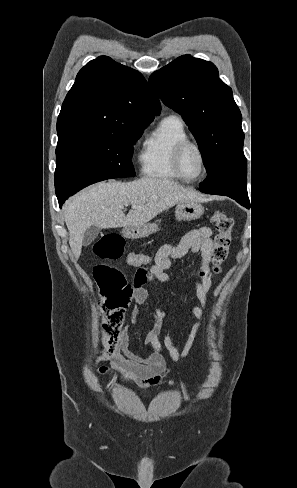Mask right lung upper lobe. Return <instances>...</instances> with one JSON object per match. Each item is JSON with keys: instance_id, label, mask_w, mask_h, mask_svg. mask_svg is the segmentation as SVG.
Returning a JSON list of instances; mask_svg holds the SVG:
<instances>
[{"instance_id": "right-lung-upper-lobe-1", "label": "right lung upper lobe", "mask_w": 297, "mask_h": 488, "mask_svg": "<svg viewBox=\"0 0 297 488\" xmlns=\"http://www.w3.org/2000/svg\"><path fill=\"white\" fill-rule=\"evenodd\" d=\"M160 110L141 73L100 56L77 74L58 116V138L149 124Z\"/></svg>"}]
</instances>
